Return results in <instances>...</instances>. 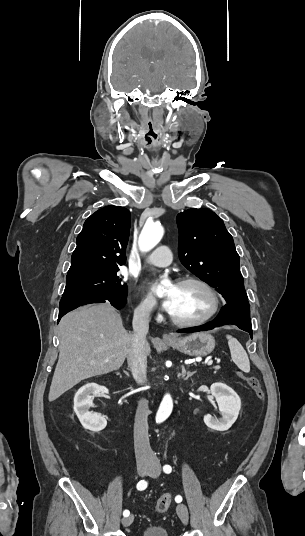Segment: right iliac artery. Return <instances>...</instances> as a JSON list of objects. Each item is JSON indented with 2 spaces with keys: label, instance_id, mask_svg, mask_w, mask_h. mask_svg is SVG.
I'll return each mask as SVG.
<instances>
[{
  "label": "right iliac artery",
  "instance_id": "right-iliac-artery-1",
  "mask_svg": "<svg viewBox=\"0 0 305 536\" xmlns=\"http://www.w3.org/2000/svg\"><path fill=\"white\" fill-rule=\"evenodd\" d=\"M146 487H147V482L145 480H141L137 484V489L138 490H144V489H146ZM129 514H130V512L128 510H125L123 512L124 517L129 516Z\"/></svg>",
  "mask_w": 305,
  "mask_h": 536
}]
</instances>
